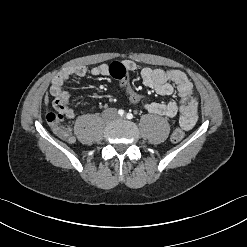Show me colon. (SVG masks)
Returning a JSON list of instances; mask_svg holds the SVG:
<instances>
[{
  "instance_id": "1",
  "label": "colon",
  "mask_w": 247,
  "mask_h": 247,
  "mask_svg": "<svg viewBox=\"0 0 247 247\" xmlns=\"http://www.w3.org/2000/svg\"><path fill=\"white\" fill-rule=\"evenodd\" d=\"M111 76L122 81L131 103L136 105H145L148 102V97L145 94L136 92L127 83L128 71L120 62H113L111 64ZM46 118L57 136L65 140L72 139L71 131L69 127L64 124V115L61 112L50 111ZM184 137L185 131L181 128H176L171 135V140L173 142H180Z\"/></svg>"
}]
</instances>
